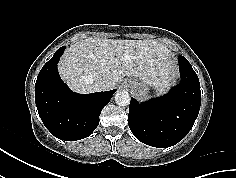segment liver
<instances>
[{"label": "liver", "mask_w": 236, "mask_h": 178, "mask_svg": "<svg viewBox=\"0 0 236 178\" xmlns=\"http://www.w3.org/2000/svg\"><path fill=\"white\" fill-rule=\"evenodd\" d=\"M170 57V50L155 40L89 37L66 50L58 70L70 88L79 93L99 91L94 82L102 78L108 82L106 89H112L124 76L161 86L175 77V65Z\"/></svg>", "instance_id": "obj_1"}]
</instances>
